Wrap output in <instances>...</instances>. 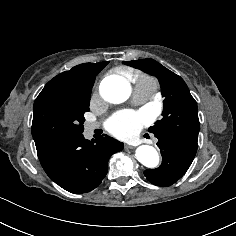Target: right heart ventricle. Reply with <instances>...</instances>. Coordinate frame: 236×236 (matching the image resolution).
Instances as JSON below:
<instances>
[{
    "instance_id": "right-heart-ventricle-1",
    "label": "right heart ventricle",
    "mask_w": 236,
    "mask_h": 236,
    "mask_svg": "<svg viewBox=\"0 0 236 236\" xmlns=\"http://www.w3.org/2000/svg\"><path fill=\"white\" fill-rule=\"evenodd\" d=\"M132 82L135 86H148L152 88H156V81L154 78L150 77L149 75L137 73L133 75Z\"/></svg>"
}]
</instances>
